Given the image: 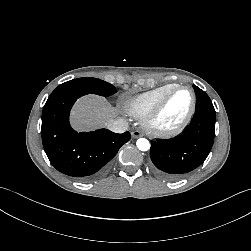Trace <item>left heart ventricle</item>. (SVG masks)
<instances>
[{"instance_id": "left-heart-ventricle-1", "label": "left heart ventricle", "mask_w": 251, "mask_h": 251, "mask_svg": "<svg viewBox=\"0 0 251 251\" xmlns=\"http://www.w3.org/2000/svg\"><path fill=\"white\" fill-rule=\"evenodd\" d=\"M191 106V94L187 90L174 92L163 109L158 124L164 128H172L178 125Z\"/></svg>"}]
</instances>
